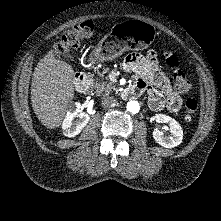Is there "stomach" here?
<instances>
[{
	"label": "stomach",
	"mask_w": 221,
	"mask_h": 221,
	"mask_svg": "<svg viewBox=\"0 0 221 221\" xmlns=\"http://www.w3.org/2000/svg\"><path fill=\"white\" fill-rule=\"evenodd\" d=\"M155 37V30L150 24L137 19L126 20L108 30L90 58L93 62L111 61L123 52L146 49Z\"/></svg>",
	"instance_id": "stomach-1"
}]
</instances>
